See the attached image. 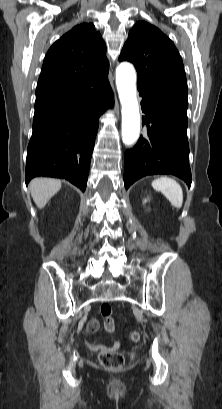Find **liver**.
I'll return each instance as SVG.
<instances>
[{
    "label": "liver",
    "instance_id": "obj_1",
    "mask_svg": "<svg viewBox=\"0 0 222 409\" xmlns=\"http://www.w3.org/2000/svg\"><path fill=\"white\" fill-rule=\"evenodd\" d=\"M61 181L53 178H35L30 184L32 198L38 208H44L48 201L61 189Z\"/></svg>",
    "mask_w": 222,
    "mask_h": 409
}]
</instances>
